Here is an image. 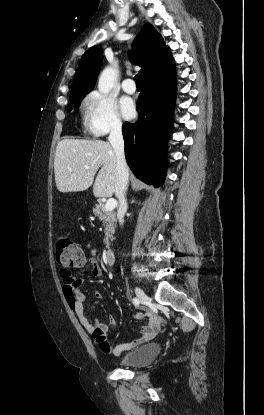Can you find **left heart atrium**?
Masks as SVG:
<instances>
[{"mask_svg":"<svg viewBox=\"0 0 264 415\" xmlns=\"http://www.w3.org/2000/svg\"><path fill=\"white\" fill-rule=\"evenodd\" d=\"M120 110L125 118H131L135 112L132 100L126 97L122 98L120 100Z\"/></svg>","mask_w":264,"mask_h":415,"instance_id":"1","label":"left heart atrium"}]
</instances>
